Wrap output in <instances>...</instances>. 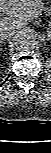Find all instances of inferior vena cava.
<instances>
[{"label": "inferior vena cava", "instance_id": "obj_1", "mask_svg": "<svg viewBox=\"0 0 51 153\" xmlns=\"http://www.w3.org/2000/svg\"><path fill=\"white\" fill-rule=\"evenodd\" d=\"M15 34L14 29H7V28H1L0 30V40L5 41V40H10Z\"/></svg>", "mask_w": 51, "mask_h": 153}]
</instances>
